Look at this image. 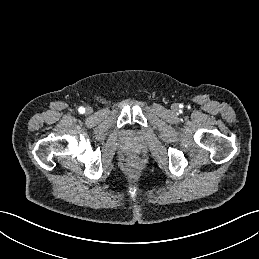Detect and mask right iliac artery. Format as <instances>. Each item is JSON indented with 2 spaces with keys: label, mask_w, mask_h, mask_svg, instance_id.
<instances>
[{
  "label": "right iliac artery",
  "mask_w": 259,
  "mask_h": 259,
  "mask_svg": "<svg viewBox=\"0 0 259 259\" xmlns=\"http://www.w3.org/2000/svg\"><path fill=\"white\" fill-rule=\"evenodd\" d=\"M80 114H83L85 112V108L84 107H79L78 109Z\"/></svg>",
  "instance_id": "82829eb1"
}]
</instances>
